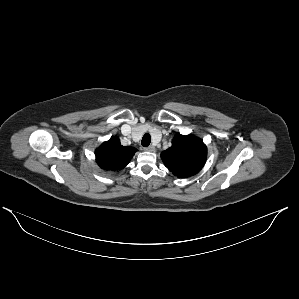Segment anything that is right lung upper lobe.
<instances>
[{
  "label": "right lung upper lobe",
  "instance_id": "cb5924a9",
  "mask_svg": "<svg viewBox=\"0 0 299 299\" xmlns=\"http://www.w3.org/2000/svg\"><path fill=\"white\" fill-rule=\"evenodd\" d=\"M135 152V148L122 146L120 140L113 136L96 150V161L104 170H120L130 162Z\"/></svg>",
  "mask_w": 299,
  "mask_h": 299
}]
</instances>
